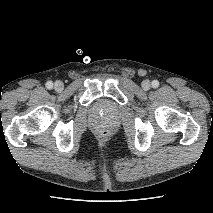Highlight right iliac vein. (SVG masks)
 Wrapping results in <instances>:
<instances>
[{"mask_svg": "<svg viewBox=\"0 0 213 213\" xmlns=\"http://www.w3.org/2000/svg\"><path fill=\"white\" fill-rule=\"evenodd\" d=\"M54 88L57 92H61L64 88V84L62 81H56L54 84Z\"/></svg>", "mask_w": 213, "mask_h": 213, "instance_id": "obj_1", "label": "right iliac vein"}]
</instances>
